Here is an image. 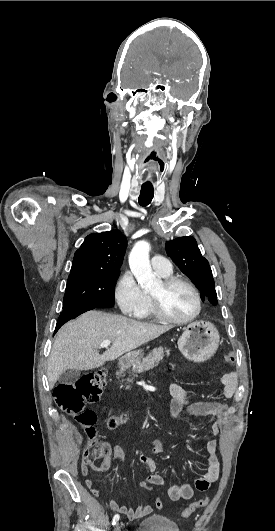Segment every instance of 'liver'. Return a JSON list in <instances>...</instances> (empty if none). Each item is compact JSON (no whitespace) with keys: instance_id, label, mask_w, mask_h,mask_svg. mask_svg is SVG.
<instances>
[{"instance_id":"liver-1","label":"liver","mask_w":275,"mask_h":531,"mask_svg":"<svg viewBox=\"0 0 275 531\" xmlns=\"http://www.w3.org/2000/svg\"><path fill=\"white\" fill-rule=\"evenodd\" d=\"M169 329V325L140 323L121 315L87 311L58 331L48 361L49 387L53 389L67 369H98L106 361H115L124 353L157 339ZM103 341H111L112 345L100 355L98 349Z\"/></svg>"}]
</instances>
